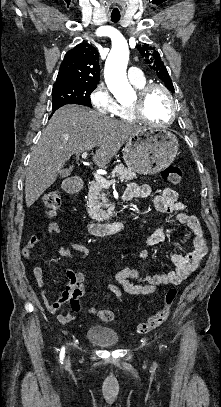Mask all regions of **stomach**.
<instances>
[{"mask_svg":"<svg viewBox=\"0 0 221 407\" xmlns=\"http://www.w3.org/2000/svg\"><path fill=\"white\" fill-rule=\"evenodd\" d=\"M178 153L176 136L165 130L141 129L123 148L129 169L138 174H156L170 165Z\"/></svg>","mask_w":221,"mask_h":407,"instance_id":"stomach-1","label":"stomach"}]
</instances>
